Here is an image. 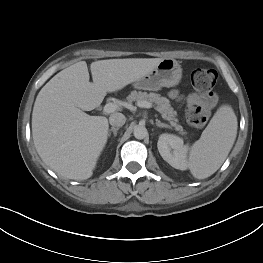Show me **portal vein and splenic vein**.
Segmentation results:
<instances>
[{"instance_id":"obj_1","label":"portal vein and splenic vein","mask_w":263,"mask_h":263,"mask_svg":"<svg viewBox=\"0 0 263 263\" xmlns=\"http://www.w3.org/2000/svg\"><path fill=\"white\" fill-rule=\"evenodd\" d=\"M137 105L141 108H152L153 107V104L151 102H148V101H141V102H138ZM119 108V105L117 103H107L104 108H103V112L106 114H109V113H113L115 112L117 109Z\"/></svg>"}]
</instances>
